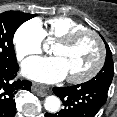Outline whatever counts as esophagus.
Listing matches in <instances>:
<instances>
[{"instance_id": "obj_1", "label": "esophagus", "mask_w": 117, "mask_h": 117, "mask_svg": "<svg viewBox=\"0 0 117 117\" xmlns=\"http://www.w3.org/2000/svg\"><path fill=\"white\" fill-rule=\"evenodd\" d=\"M32 89L33 91H35L37 94L39 95H47L48 94V88L44 87V86H41V85H38V84H33L32 85Z\"/></svg>"}]
</instances>
